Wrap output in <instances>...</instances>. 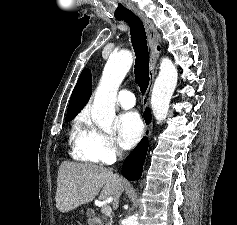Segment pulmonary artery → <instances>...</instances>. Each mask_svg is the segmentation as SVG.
Wrapping results in <instances>:
<instances>
[{
  "label": "pulmonary artery",
  "instance_id": "e3ab8cb5",
  "mask_svg": "<svg viewBox=\"0 0 237 225\" xmlns=\"http://www.w3.org/2000/svg\"><path fill=\"white\" fill-rule=\"evenodd\" d=\"M117 103L125 109H130L136 103L135 96L130 91L121 90L117 95Z\"/></svg>",
  "mask_w": 237,
  "mask_h": 225
}]
</instances>
